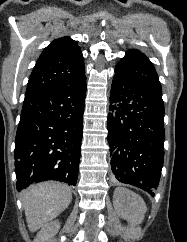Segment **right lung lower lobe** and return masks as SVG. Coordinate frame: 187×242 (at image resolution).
<instances>
[{"label": "right lung lower lobe", "instance_id": "1", "mask_svg": "<svg viewBox=\"0 0 187 242\" xmlns=\"http://www.w3.org/2000/svg\"><path fill=\"white\" fill-rule=\"evenodd\" d=\"M85 97L86 76L25 96L14 151L18 191L46 180L76 185Z\"/></svg>", "mask_w": 187, "mask_h": 242}]
</instances>
